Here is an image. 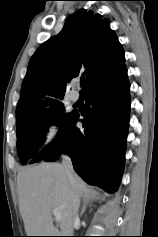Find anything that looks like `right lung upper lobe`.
Here are the masks:
<instances>
[{"instance_id":"cb5924a9","label":"right lung upper lobe","mask_w":158,"mask_h":237,"mask_svg":"<svg viewBox=\"0 0 158 237\" xmlns=\"http://www.w3.org/2000/svg\"><path fill=\"white\" fill-rule=\"evenodd\" d=\"M125 62L124 50L108 19L80 9L62 31L44 42L32 56L21 87L16 119L32 116L63 100L69 82L83 75L86 89Z\"/></svg>"}]
</instances>
